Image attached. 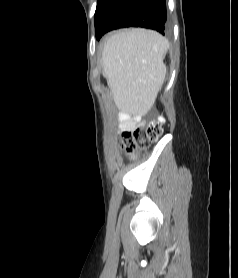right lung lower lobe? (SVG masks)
Wrapping results in <instances>:
<instances>
[{
  "label": "right lung lower lobe",
  "instance_id": "right-lung-lower-lobe-1",
  "mask_svg": "<svg viewBox=\"0 0 238 278\" xmlns=\"http://www.w3.org/2000/svg\"><path fill=\"white\" fill-rule=\"evenodd\" d=\"M165 0H98L95 12L96 39L113 29L140 26L164 34Z\"/></svg>",
  "mask_w": 238,
  "mask_h": 278
}]
</instances>
